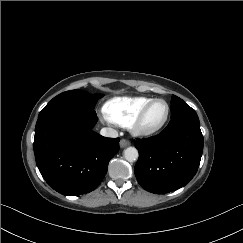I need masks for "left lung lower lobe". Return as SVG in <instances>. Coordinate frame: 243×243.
Wrapping results in <instances>:
<instances>
[{
    "label": "left lung lower lobe",
    "mask_w": 243,
    "mask_h": 243,
    "mask_svg": "<svg viewBox=\"0 0 243 243\" xmlns=\"http://www.w3.org/2000/svg\"><path fill=\"white\" fill-rule=\"evenodd\" d=\"M139 159L134 172L147 191L164 194L185 186L196 174L203 151L198 116L171 120L158 135L134 141Z\"/></svg>",
    "instance_id": "obj_1"
}]
</instances>
